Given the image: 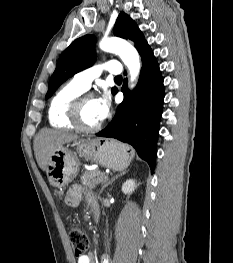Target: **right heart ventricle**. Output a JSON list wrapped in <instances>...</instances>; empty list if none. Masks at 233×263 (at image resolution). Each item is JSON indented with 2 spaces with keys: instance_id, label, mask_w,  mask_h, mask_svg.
<instances>
[{
  "instance_id": "e07e8e85",
  "label": "right heart ventricle",
  "mask_w": 233,
  "mask_h": 263,
  "mask_svg": "<svg viewBox=\"0 0 233 263\" xmlns=\"http://www.w3.org/2000/svg\"><path fill=\"white\" fill-rule=\"evenodd\" d=\"M84 91L74 81H70L54 94L48 109V119L52 127L69 129L75 127L69 119L68 111L73 99Z\"/></svg>"
}]
</instances>
